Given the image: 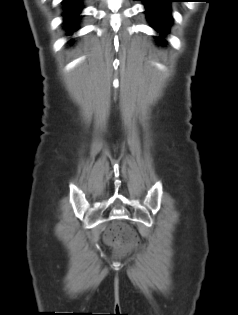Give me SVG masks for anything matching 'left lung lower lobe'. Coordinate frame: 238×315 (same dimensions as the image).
<instances>
[{"mask_svg":"<svg viewBox=\"0 0 238 315\" xmlns=\"http://www.w3.org/2000/svg\"><path fill=\"white\" fill-rule=\"evenodd\" d=\"M145 3L146 16L152 28L161 35L165 36L169 33L172 25L171 2L176 0H139ZM160 42H164L163 38H158Z\"/></svg>","mask_w":238,"mask_h":315,"instance_id":"1","label":"left lung lower lobe"}]
</instances>
